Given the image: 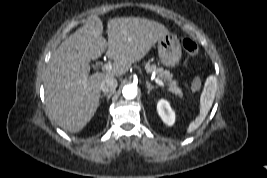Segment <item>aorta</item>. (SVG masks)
Here are the masks:
<instances>
[{
    "instance_id": "762f6f07",
    "label": "aorta",
    "mask_w": 267,
    "mask_h": 178,
    "mask_svg": "<svg viewBox=\"0 0 267 178\" xmlns=\"http://www.w3.org/2000/svg\"><path fill=\"white\" fill-rule=\"evenodd\" d=\"M122 94L126 99H134L137 96V87L133 84L125 85Z\"/></svg>"
}]
</instances>
